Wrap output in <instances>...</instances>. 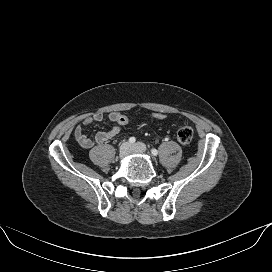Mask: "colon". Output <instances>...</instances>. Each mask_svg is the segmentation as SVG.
<instances>
[{
  "label": "colon",
  "mask_w": 272,
  "mask_h": 272,
  "mask_svg": "<svg viewBox=\"0 0 272 272\" xmlns=\"http://www.w3.org/2000/svg\"><path fill=\"white\" fill-rule=\"evenodd\" d=\"M165 118H166V114L163 112H155L152 114V119L155 121H161ZM116 122L120 126H124L129 123V118L126 115L118 113ZM176 138L178 142L182 145L189 144L193 138L192 128L189 125L182 123L176 132Z\"/></svg>",
  "instance_id": "obj_1"
}]
</instances>
